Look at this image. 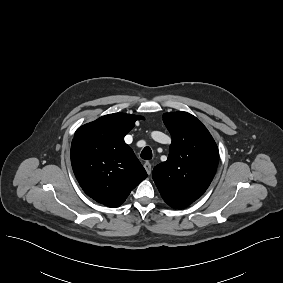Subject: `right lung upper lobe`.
Here are the masks:
<instances>
[{
	"label": "right lung upper lobe",
	"instance_id": "right-lung-upper-lobe-1",
	"mask_svg": "<svg viewBox=\"0 0 283 283\" xmlns=\"http://www.w3.org/2000/svg\"><path fill=\"white\" fill-rule=\"evenodd\" d=\"M142 116L114 113L77 129L71 164L84 192L108 207L120 206L147 173L124 136Z\"/></svg>",
	"mask_w": 283,
	"mask_h": 283
}]
</instances>
